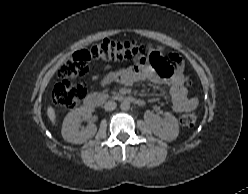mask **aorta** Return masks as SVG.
Segmentation results:
<instances>
[{"mask_svg": "<svg viewBox=\"0 0 248 194\" xmlns=\"http://www.w3.org/2000/svg\"><path fill=\"white\" fill-rule=\"evenodd\" d=\"M121 110L127 111L130 109V102L129 101H123L120 105Z\"/></svg>", "mask_w": 248, "mask_h": 194, "instance_id": "1", "label": "aorta"}]
</instances>
